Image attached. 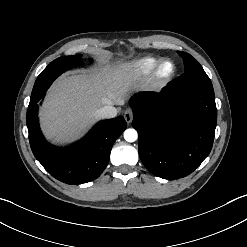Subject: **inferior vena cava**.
Listing matches in <instances>:
<instances>
[{
    "label": "inferior vena cava",
    "instance_id": "602c4592",
    "mask_svg": "<svg viewBox=\"0 0 247 247\" xmlns=\"http://www.w3.org/2000/svg\"><path fill=\"white\" fill-rule=\"evenodd\" d=\"M97 113L101 118H113L117 115V109L112 105H105Z\"/></svg>",
    "mask_w": 247,
    "mask_h": 247
}]
</instances>
